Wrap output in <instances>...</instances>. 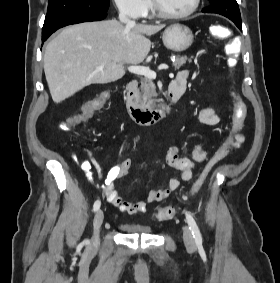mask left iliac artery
<instances>
[{
  "label": "left iliac artery",
  "instance_id": "obj_1",
  "mask_svg": "<svg viewBox=\"0 0 280 283\" xmlns=\"http://www.w3.org/2000/svg\"><path fill=\"white\" fill-rule=\"evenodd\" d=\"M186 220L189 225V229L191 230L192 235L195 239V242L197 244L201 243L202 236H201L200 230L196 224V221L194 220L193 216L190 213H186Z\"/></svg>",
  "mask_w": 280,
  "mask_h": 283
}]
</instances>
